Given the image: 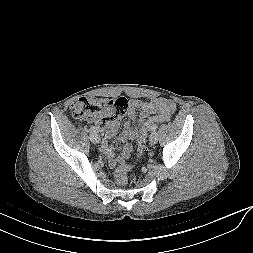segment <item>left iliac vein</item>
Masks as SVG:
<instances>
[{"label":"left iliac vein","instance_id":"1","mask_svg":"<svg viewBox=\"0 0 253 253\" xmlns=\"http://www.w3.org/2000/svg\"><path fill=\"white\" fill-rule=\"evenodd\" d=\"M150 144L154 145L158 141V134L156 132H152L149 137Z\"/></svg>","mask_w":253,"mask_h":253}]
</instances>
